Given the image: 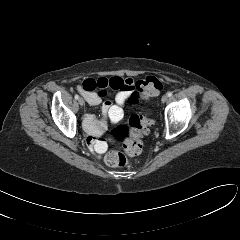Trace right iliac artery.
Wrapping results in <instances>:
<instances>
[{
    "mask_svg": "<svg viewBox=\"0 0 240 240\" xmlns=\"http://www.w3.org/2000/svg\"><path fill=\"white\" fill-rule=\"evenodd\" d=\"M75 99L78 100L79 99V95L76 94L75 95Z\"/></svg>",
    "mask_w": 240,
    "mask_h": 240,
    "instance_id": "82829eb1",
    "label": "right iliac artery"
}]
</instances>
